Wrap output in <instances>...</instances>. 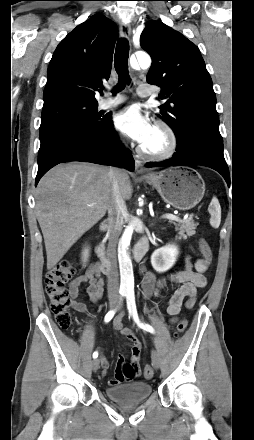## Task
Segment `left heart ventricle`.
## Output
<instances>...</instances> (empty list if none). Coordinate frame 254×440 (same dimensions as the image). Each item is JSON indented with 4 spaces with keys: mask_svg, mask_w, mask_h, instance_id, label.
Masks as SVG:
<instances>
[{
    "mask_svg": "<svg viewBox=\"0 0 254 440\" xmlns=\"http://www.w3.org/2000/svg\"><path fill=\"white\" fill-rule=\"evenodd\" d=\"M165 144V135L160 130L154 128L147 142L143 144V147L148 151H159L164 148Z\"/></svg>",
    "mask_w": 254,
    "mask_h": 440,
    "instance_id": "obj_1",
    "label": "left heart ventricle"
}]
</instances>
